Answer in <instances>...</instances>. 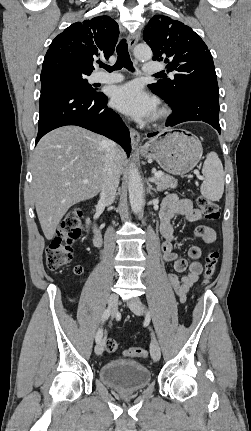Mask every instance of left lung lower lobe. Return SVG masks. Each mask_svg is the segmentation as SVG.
<instances>
[{
    "instance_id": "1",
    "label": "left lung lower lobe",
    "mask_w": 251,
    "mask_h": 431,
    "mask_svg": "<svg viewBox=\"0 0 251 431\" xmlns=\"http://www.w3.org/2000/svg\"><path fill=\"white\" fill-rule=\"evenodd\" d=\"M218 99L219 92L214 90L199 89L189 92L177 105H170L172 115L167 119L166 126L172 127L186 121H203L220 133ZM157 133H150L147 137H153Z\"/></svg>"
}]
</instances>
